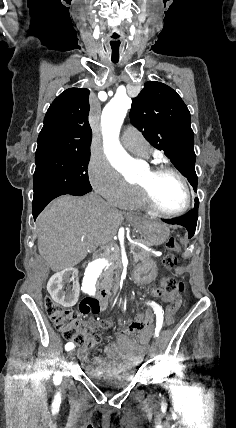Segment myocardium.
I'll return each instance as SVG.
<instances>
[{"label":"myocardium","instance_id":"1","mask_svg":"<svg viewBox=\"0 0 236 428\" xmlns=\"http://www.w3.org/2000/svg\"><path fill=\"white\" fill-rule=\"evenodd\" d=\"M162 174H172L175 177H177L183 184L186 192V200L182 207L176 210H166L164 209L156 200L152 188H151V181L155 179L156 177L162 175ZM137 189L139 190V193L141 195V198L143 202L153 211L164 215V216H177L184 212H186L192 202V191H191V185L188 180V178L180 172L175 167L168 165V164H158L152 168L149 169V177L148 180L145 182L137 183L136 184Z\"/></svg>","mask_w":236,"mask_h":428}]
</instances>
